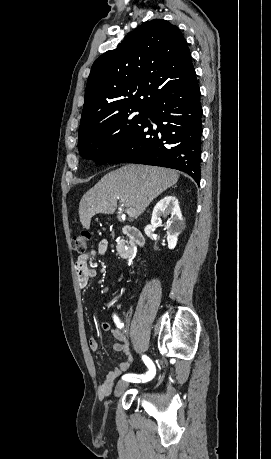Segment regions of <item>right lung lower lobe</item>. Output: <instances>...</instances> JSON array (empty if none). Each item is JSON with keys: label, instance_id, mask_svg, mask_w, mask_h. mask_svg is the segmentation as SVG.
<instances>
[{"label": "right lung lower lobe", "instance_id": "1", "mask_svg": "<svg viewBox=\"0 0 271 459\" xmlns=\"http://www.w3.org/2000/svg\"><path fill=\"white\" fill-rule=\"evenodd\" d=\"M202 106L196 74L155 97L147 116L110 164L132 162L177 169L200 182ZM156 124L153 129L148 120Z\"/></svg>", "mask_w": 271, "mask_h": 459}]
</instances>
